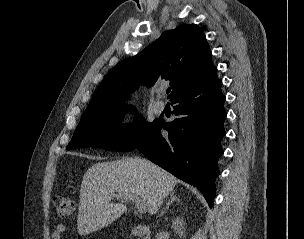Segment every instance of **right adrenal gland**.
<instances>
[{"instance_id": "2a0ac1e0", "label": "right adrenal gland", "mask_w": 304, "mask_h": 239, "mask_svg": "<svg viewBox=\"0 0 304 239\" xmlns=\"http://www.w3.org/2000/svg\"><path fill=\"white\" fill-rule=\"evenodd\" d=\"M174 201L179 202L180 199H179L176 195H174V192L172 191V192L170 193V199H169V201H168L166 207H165V208L163 209V211L161 212L160 216H162V215L164 214V212H165L166 210L169 209V206H170Z\"/></svg>"}]
</instances>
